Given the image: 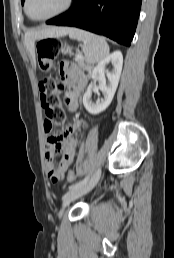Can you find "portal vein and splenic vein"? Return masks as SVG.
<instances>
[{
	"label": "portal vein and splenic vein",
	"instance_id": "portal-vein-and-splenic-vein-1",
	"mask_svg": "<svg viewBox=\"0 0 174 258\" xmlns=\"http://www.w3.org/2000/svg\"><path fill=\"white\" fill-rule=\"evenodd\" d=\"M76 59H83L81 55H77Z\"/></svg>",
	"mask_w": 174,
	"mask_h": 258
}]
</instances>
